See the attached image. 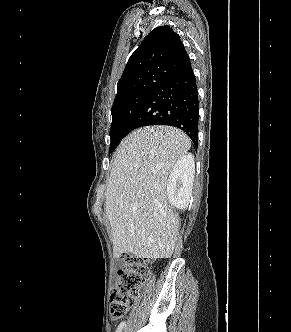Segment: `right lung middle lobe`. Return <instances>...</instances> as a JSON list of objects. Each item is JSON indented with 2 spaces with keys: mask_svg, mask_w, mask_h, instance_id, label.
<instances>
[{
  "mask_svg": "<svg viewBox=\"0 0 291 332\" xmlns=\"http://www.w3.org/2000/svg\"><path fill=\"white\" fill-rule=\"evenodd\" d=\"M160 82H154L148 89L131 93L114 101L111 108L112 124L110 129L111 144L109 153L116 148L127 134L126 129L129 121Z\"/></svg>",
  "mask_w": 291,
  "mask_h": 332,
  "instance_id": "right-lung-middle-lobe-1",
  "label": "right lung middle lobe"
}]
</instances>
